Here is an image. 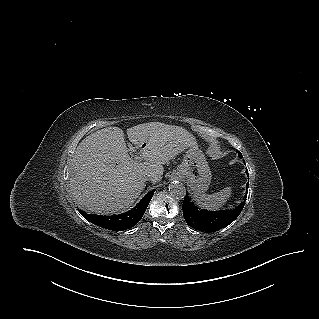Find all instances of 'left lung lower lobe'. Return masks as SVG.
Returning a JSON list of instances; mask_svg holds the SVG:
<instances>
[{"label":"left lung lower lobe","mask_w":319,"mask_h":319,"mask_svg":"<svg viewBox=\"0 0 319 319\" xmlns=\"http://www.w3.org/2000/svg\"><path fill=\"white\" fill-rule=\"evenodd\" d=\"M246 172L248 174V171ZM244 205L245 202H242L231 210L209 212L199 210L190 202V198L186 195L183 203V216L186 223L196 230L205 232L217 231L231 224L239 216Z\"/></svg>","instance_id":"left-lung-lower-lobe-1"}]
</instances>
